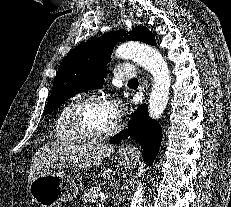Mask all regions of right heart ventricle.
<instances>
[{
    "mask_svg": "<svg viewBox=\"0 0 231 207\" xmlns=\"http://www.w3.org/2000/svg\"><path fill=\"white\" fill-rule=\"evenodd\" d=\"M73 103L74 101H69L64 104L55 117L53 135L57 141L70 143L79 140V138L72 131L68 120L69 111Z\"/></svg>",
    "mask_w": 231,
    "mask_h": 207,
    "instance_id": "right-heart-ventricle-1",
    "label": "right heart ventricle"
}]
</instances>
